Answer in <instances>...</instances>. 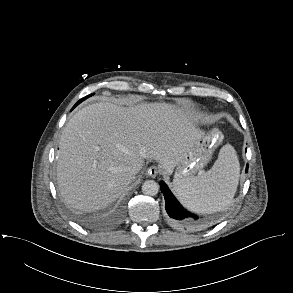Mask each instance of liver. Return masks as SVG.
Returning <instances> with one entry per match:
<instances>
[{
	"label": "liver",
	"instance_id": "1",
	"mask_svg": "<svg viewBox=\"0 0 293 293\" xmlns=\"http://www.w3.org/2000/svg\"><path fill=\"white\" fill-rule=\"evenodd\" d=\"M203 135L186 110L168 103L86 106L71 117L60 138L61 196L73 209L99 210L135 179L130 171L134 163L154 159L171 173Z\"/></svg>",
	"mask_w": 293,
	"mask_h": 293
}]
</instances>
